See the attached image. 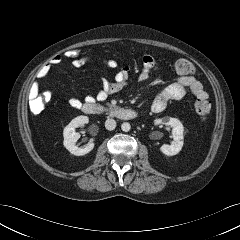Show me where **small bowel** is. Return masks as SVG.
<instances>
[{
    "label": "small bowel",
    "mask_w": 240,
    "mask_h": 240,
    "mask_svg": "<svg viewBox=\"0 0 240 240\" xmlns=\"http://www.w3.org/2000/svg\"><path fill=\"white\" fill-rule=\"evenodd\" d=\"M64 59L62 54H56L49 62L44 64L36 74V81L32 84L29 90V97H37L39 93V82L46 80L50 74L51 68L62 62ZM101 60L107 67L116 68L117 61L114 59H102L100 55L93 53L86 55L85 63L92 60ZM156 65L155 59L150 55H145L142 60V70L139 73L138 80L145 82L149 79L151 71ZM129 69L128 67H122L114 74L113 80L102 78L101 86L96 93V96H87L86 102H93L95 98L97 100H104L108 95L120 91L128 82ZM191 92L197 99H207L208 93L204 89L203 85L195 79L191 74H183L178 77L173 83L162 89L158 95L154 98L151 104V110L154 113H160L165 110L167 104L170 101H176L182 99L187 92ZM69 104L75 109H81L83 103L76 97H68Z\"/></svg>",
    "instance_id": "obj_1"
}]
</instances>
